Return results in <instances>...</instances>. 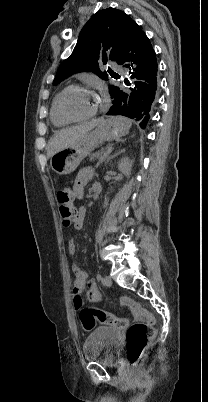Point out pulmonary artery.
I'll list each match as a JSON object with an SVG mask.
<instances>
[{"mask_svg": "<svg viewBox=\"0 0 208 402\" xmlns=\"http://www.w3.org/2000/svg\"><path fill=\"white\" fill-rule=\"evenodd\" d=\"M113 68H114V69H113V72H114L115 74H118L119 72H124V70H123V68L121 67V65L115 64Z\"/></svg>", "mask_w": 208, "mask_h": 402, "instance_id": "pulmonary-artery-1", "label": "pulmonary artery"}]
</instances>
